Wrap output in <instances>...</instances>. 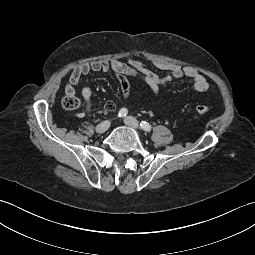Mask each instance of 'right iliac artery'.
Here are the masks:
<instances>
[{
    "instance_id": "obj_1",
    "label": "right iliac artery",
    "mask_w": 255,
    "mask_h": 255,
    "mask_svg": "<svg viewBox=\"0 0 255 255\" xmlns=\"http://www.w3.org/2000/svg\"><path fill=\"white\" fill-rule=\"evenodd\" d=\"M127 113H128V110L126 108H122L118 112V117H125L127 115Z\"/></svg>"
}]
</instances>
